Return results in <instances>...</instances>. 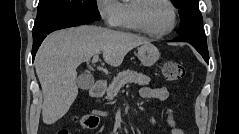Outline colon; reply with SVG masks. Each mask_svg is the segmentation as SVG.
Masks as SVG:
<instances>
[{
  "label": "colon",
  "mask_w": 239,
  "mask_h": 134,
  "mask_svg": "<svg viewBox=\"0 0 239 134\" xmlns=\"http://www.w3.org/2000/svg\"><path fill=\"white\" fill-rule=\"evenodd\" d=\"M162 75L168 81H178L185 77L184 66L176 61H167L162 66ZM82 126L86 128H95L98 124V118L92 115L83 116L79 119ZM169 122L173 124V116L169 115ZM62 131L60 134H65Z\"/></svg>",
  "instance_id": "obj_1"
}]
</instances>
